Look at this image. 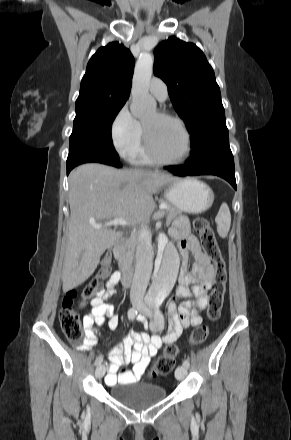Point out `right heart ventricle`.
Returning a JSON list of instances; mask_svg holds the SVG:
<instances>
[{
    "label": "right heart ventricle",
    "mask_w": 291,
    "mask_h": 440,
    "mask_svg": "<svg viewBox=\"0 0 291 440\" xmlns=\"http://www.w3.org/2000/svg\"><path fill=\"white\" fill-rule=\"evenodd\" d=\"M130 159L134 164L142 166L153 165L155 163V161L152 160L148 155L145 147L141 144L137 151L130 157Z\"/></svg>",
    "instance_id": "1"
}]
</instances>
